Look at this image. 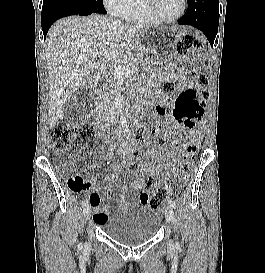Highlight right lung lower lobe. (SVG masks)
I'll return each mask as SVG.
<instances>
[{"label": "right lung lower lobe", "mask_w": 265, "mask_h": 273, "mask_svg": "<svg viewBox=\"0 0 265 273\" xmlns=\"http://www.w3.org/2000/svg\"><path fill=\"white\" fill-rule=\"evenodd\" d=\"M93 13L95 12H79V11L68 9V8H54L46 12H42L41 19H42V31L44 34V38H46L49 28L56 20L62 17L71 16V15L87 16Z\"/></svg>", "instance_id": "right-lung-lower-lobe-1"}]
</instances>
